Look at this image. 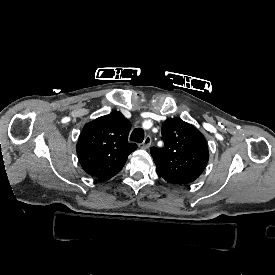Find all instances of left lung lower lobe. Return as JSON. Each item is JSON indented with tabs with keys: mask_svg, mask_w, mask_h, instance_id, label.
I'll list each match as a JSON object with an SVG mask.
<instances>
[{
	"mask_svg": "<svg viewBox=\"0 0 275 275\" xmlns=\"http://www.w3.org/2000/svg\"><path fill=\"white\" fill-rule=\"evenodd\" d=\"M157 174L159 177H162L165 181L172 183L171 180L166 175H164L162 172H160L159 170H157Z\"/></svg>",
	"mask_w": 275,
	"mask_h": 275,
	"instance_id": "0a47b994",
	"label": "left lung lower lobe"
}]
</instances>
